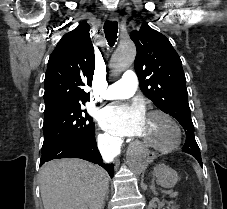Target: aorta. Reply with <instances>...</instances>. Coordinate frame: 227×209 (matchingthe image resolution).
I'll return each mask as SVG.
<instances>
[{"mask_svg":"<svg viewBox=\"0 0 227 209\" xmlns=\"http://www.w3.org/2000/svg\"><path fill=\"white\" fill-rule=\"evenodd\" d=\"M136 48L132 42L120 44L111 58V68L114 73H120L134 62ZM127 163L135 174H141L146 168V152L141 145H132L127 151Z\"/></svg>","mask_w":227,"mask_h":209,"instance_id":"762f6f07","label":"aorta"}]
</instances>
